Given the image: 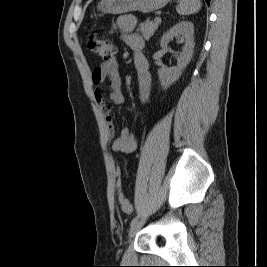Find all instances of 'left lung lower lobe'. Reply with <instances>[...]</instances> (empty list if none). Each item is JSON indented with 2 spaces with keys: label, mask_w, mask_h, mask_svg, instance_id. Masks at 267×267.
Returning <instances> with one entry per match:
<instances>
[{
  "label": "left lung lower lobe",
  "mask_w": 267,
  "mask_h": 267,
  "mask_svg": "<svg viewBox=\"0 0 267 267\" xmlns=\"http://www.w3.org/2000/svg\"><path fill=\"white\" fill-rule=\"evenodd\" d=\"M205 1H206V2H207V4L209 5L211 0H205Z\"/></svg>",
  "instance_id": "0a47b994"
}]
</instances>
